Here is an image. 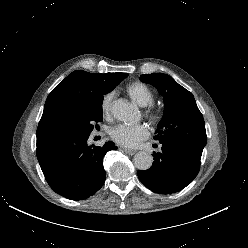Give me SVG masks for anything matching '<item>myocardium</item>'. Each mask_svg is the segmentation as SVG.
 I'll return each mask as SVG.
<instances>
[{
	"instance_id": "f54148a6",
	"label": "myocardium",
	"mask_w": 248,
	"mask_h": 248,
	"mask_svg": "<svg viewBox=\"0 0 248 248\" xmlns=\"http://www.w3.org/2000/svg\"><path fill=\"white\" fill-rule=\"evenodd\" d=\"M145 114L151 120L156 121L160 118L161 111L157 106L151 103L150 105L146 106Z\"/></svg>"
}]
</instances>
